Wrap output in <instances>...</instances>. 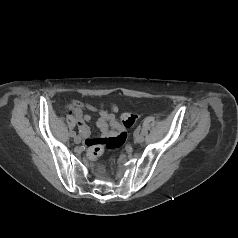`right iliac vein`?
<instances>
[{"label":"right iliac vein","mask_w":238,"mask_h":238,"mask_svg":"<svg viewBox=\"0 0 238 238\" xmlns=\"http://www.w3.org/2000/svg\"><path fill=\"white\" fill-rule=\"evenodd\" d=\"M74 142H75L76 144L81 143V137H80V136H76V137L74 138Z\"/></svg>","instance_id":"obj_1"}]
</instances>
